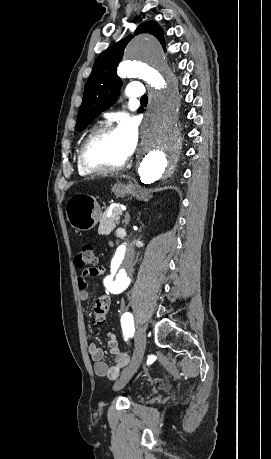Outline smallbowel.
Instances as JSON below:
<instances>
[{"instance_id":"small-bowel-1","label":"small bowel","mask_w":271,"mask_h":459,"mask_svg":"<svg viewBox=\"0 0 271 459\" xmlns=\"http://www.w3.org/2000/svg\"><path fill=\"white\" fill-rule=\"evenodd\" d=\"M103 268H90L85 270L77 280L79 289V298L85 302L89 299L88 293V279L90 277H98L103 274ZM108 351L114 357L113 364H108L105 360L104 350L96 345L90 343L88 352L91 359L94 361V372L100 377H107L110 380H115L119 377L121 371L128 365L129 357L127 354L120 351L116 335L112 332L108 334Z\"/></svg>"}]
</instances>
